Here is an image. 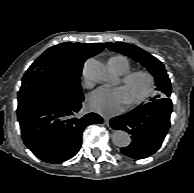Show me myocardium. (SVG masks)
<instances>
[{"instance_id": "myocardium-1", "label": "myocardium", "mask_w": 194, "mask_h": 193, "mask_svg": "<svg viewBox=\"0 0 194 193\" xmlns=\"http://www.w3.org/2000/svg\"><path fill=\"white\" fill-rule=\"evenodd\" d=\"M136 78H143L145 80L144 91L134 100L128 102L129 107H135L146 101L154 92L155 79L154 76L146 70H135L127 73L121 80L122 85H127Z\"/></svg>"}]
</instances>
